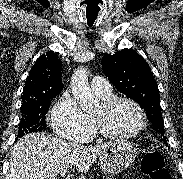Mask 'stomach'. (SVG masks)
<instances>
[{
	"label": "stomach",
	"mask_w": 183,
	"mask_h": 179,
	"mask_svg": "<svg viewBox=\"0 0 183 179\" xmlns=\"http://www.w3.org/2000/svg\"><path fill=\"white\" fill-rule=\"evenodd\" d=\"M137 156L136 146L127 140L110 142L99 155V162L105 174L113 176L127 169Z\"/></svg>",
	"instance_id": "obj_1"
}]
</instances>
